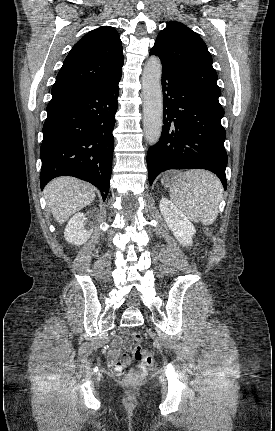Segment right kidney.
Here are the masks:
<instances>
[{
    "label": "right kidney",
    "instance_id": "obj_1",
    "mask_svg": "<svg viewBox=\"0 0 275 431\" xmlns=\"http://www.w3.org/2000/svg\"><path fill=\"white\" fill-rule=\"evenodd\" d=\"M87 223V218L83 213H76L68 222L64 237L65 239L74 245L80 246L83 243H85L90 235L92 234V231L87 230L85 228V225Z\"/></svg>",
    "mask_w": 275,
    "mask_h": 431
}]
</instances>
